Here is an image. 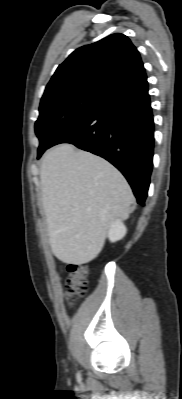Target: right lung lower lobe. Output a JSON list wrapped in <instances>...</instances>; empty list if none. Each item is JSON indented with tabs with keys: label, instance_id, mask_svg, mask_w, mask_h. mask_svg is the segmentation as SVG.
<instances>
[{
	"label": "right lung lower lobe",
	"instance_id": "right-lung-lower-lobe-1",
	"mask_svg": "<svg viewBox=\"0 0 182 399\" xmlns=\"http://www.w3.org/2000/svg\"><path fill=\"white\" fill-rule=\"evenodd\" d=\"M59 143L74 144L111 162L144 205L154 149L148 82L106 97L99 108L61 130L49 147Z\"/></svg>",
	"mask_w": 182,
	"mask_h": 399
}]
</instances>
